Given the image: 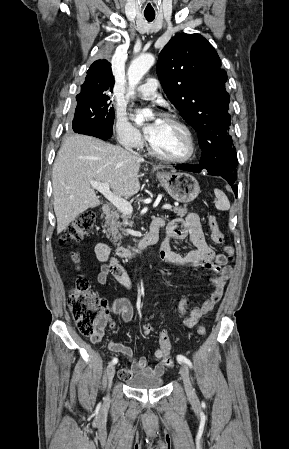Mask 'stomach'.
<instances>
[{"label": "stomach", "mask_w": 289, "mask_h": 449, "mask_svg": "<svg viewBox=\"0 0 289 449\" xmlns=\"http://www.w3.org/2000/svg\"><path fill=\"white\" fill-rule=\"evenodd\" d=\"M157 178L166 192L178 202L189 203L200 193L198 181L189 173H158Z\"/></svg>", "instance_id": "stomach-1"}]
</instances>
